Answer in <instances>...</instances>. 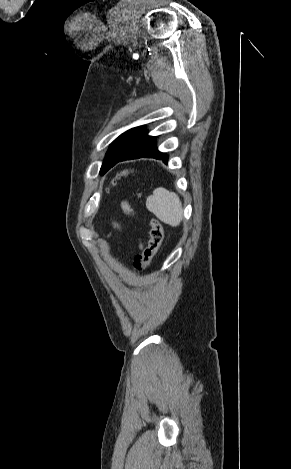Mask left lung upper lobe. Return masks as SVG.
I'll list each match as a JSON object with an SVG mask.
<instances>
[{"mask_svg": "<svg viewBox=\"0 0 291 469\" xmlns=\"http://www.w3.org/2000/svg\"><path fill=\"white\" fill-rule=\"evenodd\" d=\"M147 136L143 126L132 128L116 138L110 145L103 161L100 174H105L116 160Z\"/></svg>", "mask_w": 291, "mask_h": 469, "instance_id": "left-lung-upper-lobe-1", "label": "left lung upper lobe"}]
</instances>
